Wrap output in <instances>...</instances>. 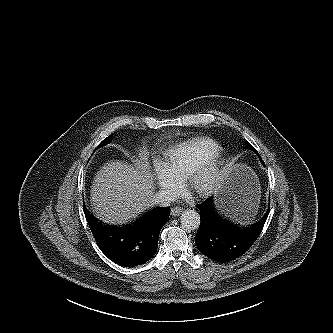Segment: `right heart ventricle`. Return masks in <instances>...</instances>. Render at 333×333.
I'll use <instances>...</instances> for the list:
<instances>
[{
    "label": "right heart ventricle",
    "mask_w": 333,
    "mask_h": 333,
    "mask_svg": "<svg viewBox=\"0 0 333 333\" xmlns=\"http://www.w3.org/2000/svg\"><path fill=\"white\" fill-rule=\"evenodd\" d=\"M222 147L208 137H196L174 146L164 152L165 164L178 178H186L197 166L217 157Z\"/></svg>",
    "instance_id": "e07e8e85"
}]
</instances>
